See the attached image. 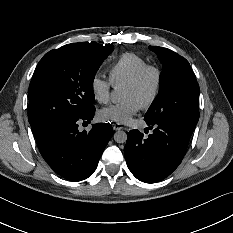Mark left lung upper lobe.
<instances>
[{
  "mask_svg": "<svg viewBox=\"0 0 233 233\" xmlns=\"http://www.w3.org/2000/svg\"><path fill=\"white\" fill-rule=\"evenodd\" d=\"M163 65L159 93L144 118L146 123H181L196 126L199 85L188 61L170 49L149 46Z\"/></svg>",
  "mask_w": 233,
  "mask_h": 233,
  "instance_id": "1",
  "label": "left lung upper lobe"
}]
</instances>
